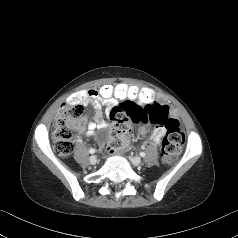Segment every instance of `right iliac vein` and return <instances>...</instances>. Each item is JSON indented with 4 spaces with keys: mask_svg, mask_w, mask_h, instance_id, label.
<instances>
[{
    "mask_svg": "<svg viewBox=\"0 0 238 238\" xmlns=\"http://www.w3.org/2000/svg\"><path fill=\"white\" fill-rule=\"evenodd\" d=\"M89 162H90V164L94 165L97 162V157L95 155H92L89 158Z\"/></svg>",
    "mask_w": 238,
    "mask_h": 238,
    "instance_id": "1",
    "label": "right iliac vein"
}]
</instances>
